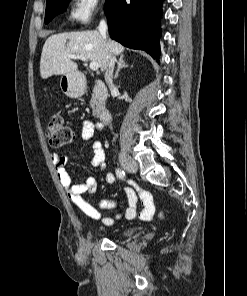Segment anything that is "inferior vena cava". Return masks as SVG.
I'll return each mask as SVG.
<instances>
[{"instance_id":"inferior-vena-cava-1","label":"inferior vena cava","mask_w":247,"mask_h":296,"mask_svg":"<svg viewBox=\"0 0 247 296\" xmlns=\"http://www.w3.org/2000/svg\"><path fill=\"white\" fill-rule=\"evenodd\" d=\"M107 22L105 20H101L99 24V32L100 34L106 39L107 34ZM115 56L111 55L107 64V69L105 72V80L109 87H113V71H114V65H115Z\"/></svg>"}]
</instances>
